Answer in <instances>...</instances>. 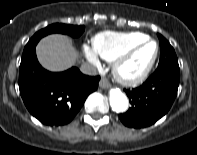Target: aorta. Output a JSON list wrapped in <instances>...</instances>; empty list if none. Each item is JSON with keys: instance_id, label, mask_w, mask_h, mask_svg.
Segmentation results:
<instances>
[{"instance_id": "1", "label": "aorta", "mask_w": 197, "mask_h": 155, "mask_svg": "<svg viewBox=\"0 0 197 155\" xmlns=\"http://www.w3.org/2000/svg\"><path fill=\"white\" fill-rule=\"evenodd\" d=\"M109 102L113 111L124 112L128 109V99L120 90L111 89L109 92Z\"/></svg>"}]
</instances>
